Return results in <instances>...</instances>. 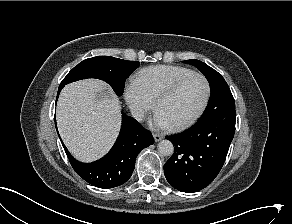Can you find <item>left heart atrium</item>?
I'll list each match as a JSON object with an SVG mask.
<instances>
[{
  "mask_svg": "<svg viewBox=\"0 0 292 224\" xmlns=\"http://www.w3.org/2000/svg\"><path fill=\"white\" fill-rule=\"evenodd\" d=\"M151 125L154 128L158 129H166L169 128L171 125L166 117L160 112L157 111L152 119Z\"/></svg>",
  "mask_w": 292,
  "mask_h": 224,
  "instance_id": "1",
  "label": "left heart atrium"
}]
</instances>
